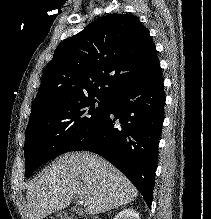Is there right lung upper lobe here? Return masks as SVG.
Listing matches in <instances>:
<instances>
[{
  "label": "right lung upper lobe",
  "mask_w": 211,
  "mask_h": 219,
  "mask_svg": "<svg viewBox=\"0 0 211 219\" xmlns=\"http://www.w3.org/2000/svg\"><path fill=\"white\" fill-rule=\"evenodd\" d=\"M155 44L131 14H108L64 40L43 74L30 119L90 97L110 99L159 61ZM29 119V120H30Z\"/></svg>",
  "instance_id": "1"
}]
</instances>
